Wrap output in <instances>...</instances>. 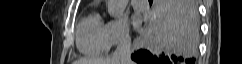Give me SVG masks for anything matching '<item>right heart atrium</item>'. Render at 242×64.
Instances as JSON below:
<instances>
[{
    "instance_id": "d8ad5b80",
    "label": "right heart atrium",
    "mask_w": 242,
    "mask_h": 64,
    "mask_svg": "<svg viewBox=\"0 0 242 64\" xmlns=\"http://www.w3.org/2000/svg\"><path fill=\"white\" fill-rule=\"evenodd\" d=\"M106 33L110 46L125 45L130 42L128 22L124 18L109 21L106 24Z\"/></svg>"
}]
</instances>
